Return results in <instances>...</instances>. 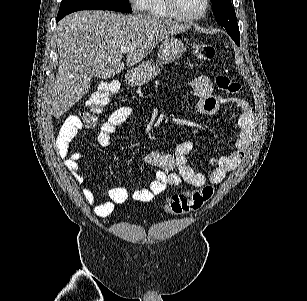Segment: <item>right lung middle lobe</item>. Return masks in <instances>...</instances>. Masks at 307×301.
Returning a JSON list of instances; mask_svg holds the SVG:
<instances>
[{
	"label": "right lung middle lobe",
	"instance_id": "1",
	"mask_svg": "<svg viewBox=\"0 0 307 301\" xmlns=\"http://www.w3.org/2000/svg\"><path fill=\"white\" fill-rule=\"evenodd\" d=\"M79 10H113L132 13L129 0H63L57 15V21L67 14Z\"/></svg>",
	"mask_w": 307,
	"mask_h": 301
}]
</instances>
